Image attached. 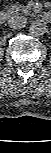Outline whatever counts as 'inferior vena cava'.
Wrapping results in <instances>:
<instances>
[{
    "mask_svg": "<svg viewBox=\"0 0 51 153\" xmlns=\"http://www.w3.org/2000/svg\"><path fill=\"white\" fill-rule=\"evenodd\" d=\"M26 23H27V19L24 16L15 15L9 18L8 20V25L14 29L23 28L25 27Z\"/></svg>",
    "mask_w": 51,
    "mask_h": 153,
    "instance_id": "obj_1",
    "label": "inferior vena cava"
}]
</instances>
